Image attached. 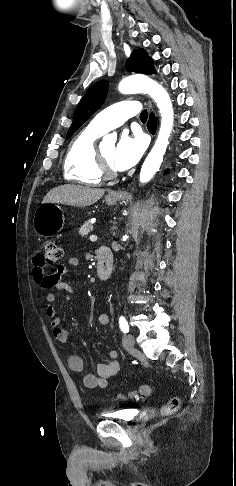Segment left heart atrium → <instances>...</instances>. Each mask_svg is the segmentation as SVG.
I'll use <instances>...</instances> for the list:
<instances>
[{"label": "left heart atrium", "instance_id": "1", "mask_svg": "<svg viewBox=\"0 0 236 486\" xmlns=\"http://www.w3.org/2000/svg\"><path fill=\"white\" fill-rule=\"evenodd\" d=\"M145 150L144 139L139 136L122 134L113 156L114 169L124 171L134 166Z\"/></svg>", "mask_w": 236, "mask_h": 486}]
</instances>
